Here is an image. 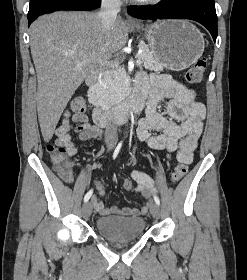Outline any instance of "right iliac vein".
Segmentation results:
<instances>
[{
	"label": "right iliac vein",
	"instance_id": "obj_1",
	"mask_svg": "<svg viewBox=\"0 0 247 280\" xmlns=\"http://www.w3.org/2000/svg\"><path fill=\"white\" fill-rule=\"evenodd\" d=\"M82 213L85 217H88L92 213V205L90 202H86L82 207Z\"/></svg>",
	"mask_w": 247,
	"mask_h": 280
}]
</instances>
